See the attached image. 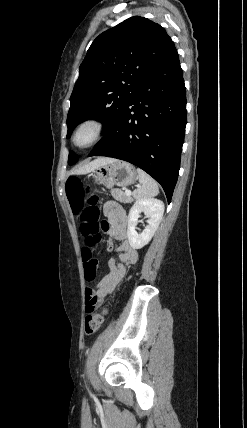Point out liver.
Returning <instances> with one entry per match:
<instances>
[{"mask_svg": "<svg viewBox=\"0 0 247 428\" xmlns=\"http://www.w3.org/2000/svg\"><path fill=\"white\" fill-rule=\"evenodd\" d=\"M115 161H116V159H113V158H107V157L97 158V159L83 165L79 169L75 170V172L80 173V174H87V173L92 172L93 170H95L96 168H98L100 166H103V165L109 164V163H113Z\"/></svg>", "mask_w": 247, "mask_h": 428, "instance_id": "liver-1", "label": "liver"}]
</instances>
